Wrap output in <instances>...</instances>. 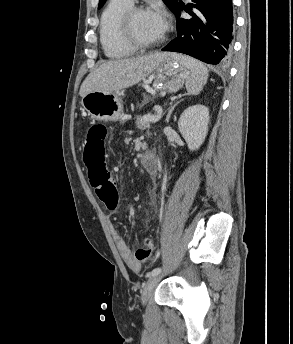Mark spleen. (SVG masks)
<instances>
[{
    "mask_svg": "<svg viewBox=\"0 0 293 344\" xmlns=\"http://www.w3.org/2000/svg\"><path fill=\"white\" fill-rule=\"evenodd\" d=\"M181 62H183L190 70L191 76L186 81V89L189 94L197 95L203 89V86L206 84L209 71L208 69L199 61L181 55H175Z\"/></svg>",
    "mask_w": 293,
    "mask_h": 344,
    "instance_id": "spleen-1",
    "label": "spleen"
}]
</instances>
